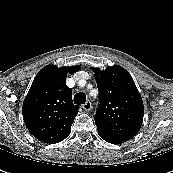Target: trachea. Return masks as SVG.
<instances>
[{
	"instance_id": "trachea-1",
	"label": "trachea",
	"mask_w": 173,
	"mask_h": 173,
	"mask_svg": "<svg viewBox=\"0 0 173 173\" xmlns=\"http://www.w3.org/2000/svg\"><path fill=\"white\" fill-rule=\"evenodd\" d=\"M86 102V94L83 92L76 93L74 96V103L77 105L84 104Z\"/></svg>"
}]
</instances>
